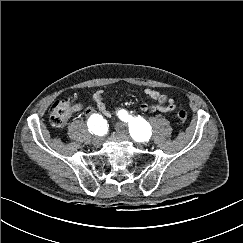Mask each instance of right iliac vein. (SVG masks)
<instances>
[{"label":"right iliac vein","mask_w":243,"mask_h":243,"mask_svg":"<svg viewBox=\"0 0 243 243\" xmlns=\"http://www.w3.org/2000/svg\"><path fill=\"white\" fill-rule=\"evenodd\" d=\"M101 142H102V138L100 136H94L92 139V143L95 146L101 145Z\"/></svg>","instance_id":"63e3f726"}]
</instances>
